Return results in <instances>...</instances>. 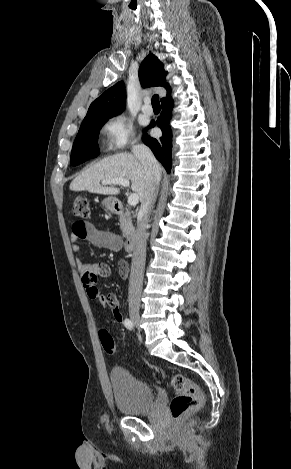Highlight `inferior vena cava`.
<instances>
[{"label": "inferior vena cava", "mask_w": 291, "mask_h": 469, "mask_svg": "<svg viewBox=\"0 0 291 469\" xmlns=\"http://www.w3.org/2000/svg\"><path fill=\"white\" fill-rule=\"evenodd\" d=\"M132 152L146 169L147 178L150 186L141 202L138 214V223L134 251L131 263V273L129 278L128 302L129 306L140 305V297L143 284V273L146 259V228L149 221L151 210L154 206L158 186L160 182L159 164L152 154L151 150L144 144H135L132 146Z\"/></svg>", "instance_id": "602c4592"}]
</instances>
